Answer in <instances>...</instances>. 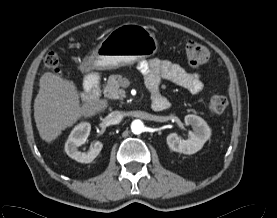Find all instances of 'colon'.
Here are the masks:
<instances>
[{"mask_svg": "<svg viewBox=\"0 0 277 218\" xmlns=\"http://www.w3.org/2000/svg\"><path fill=\"white\" fill-rule=\"evenodd\" d=\"M186 59L193 66L205 64L209 59L208 49L195 41H186L184 44ZM45 66L51 71L59 72V58L54 52H50L44 59ZM228 105V99L223 93L212 95L208 101V108L212 114H221L225 111Z\"/></svg>", "mask_w": 277, "mask_h": 218, "instance_id": "colon-1", "label": "colon"}]
</instances>
